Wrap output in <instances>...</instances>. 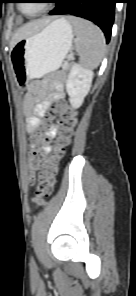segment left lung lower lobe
<instances>
[{"mask_svg":"<svg viewBox=\"0 0 136 296\" xmlns=\"http://www.w3.org/2000/svg\"><path fill=\"white\" fill-rule=\"evenodd\" d=\"M117 2L118 0H56V7L49 14H69L88 19L102 29L108 43Z\"/></svg>","mask_w":136,"mask_h":296,"instance_id":"left-lung-lower-lobe-1","label":"left lung lower lobe"}]
</instances>
